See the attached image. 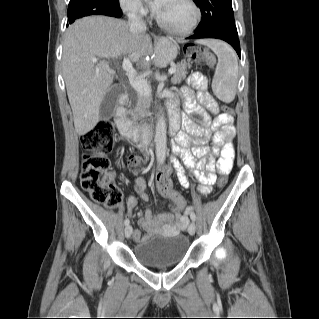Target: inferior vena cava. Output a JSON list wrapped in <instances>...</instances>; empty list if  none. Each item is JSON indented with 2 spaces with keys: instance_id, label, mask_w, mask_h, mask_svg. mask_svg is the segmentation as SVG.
Here are the masks:
<instances>
[{
  "instance_id": "602c4592",
  "label": "inferior vena cava",
  "mask_w": 319,
  "mask_h": 319,
  "mask_svg": "<svg viewBox=\"0 0 319 319\" xmlns=\"http://www.w3.org/2000/svg\"><path fill=\"white\" fill-rule=\"evenodd\" d=\"M137 6L132 7L128 12V25L131 33L139 37L146 31V24L137 13ZM150 142L149 131L147 127L142 128L141 145L146 147Z\"/></svg>"
}]
</instances>
